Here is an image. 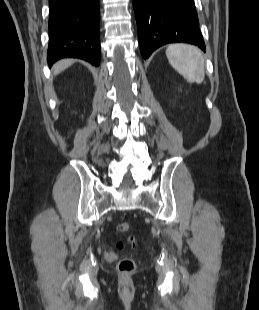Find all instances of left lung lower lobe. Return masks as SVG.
<instances>
[{"label": "left lung lower lobe", "instance_id": "1", "mask_svg": "<svg viewBox=\"0 0 259 310\" xmlns=\"http://www.w3.org/2000/svg\"><path fill=\"white\" fill-rule=\"evenodd\" d=\"M144 59L162 45L185 42L205 51L194 0H133Z\"/></svg>", "mask_w": 259, "mask_h": 310}]
</instances>
